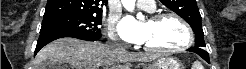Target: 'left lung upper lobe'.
<instances>
[{
	"mask_svg": "<svg viewBox=\"0 0 246 69\" xmlns=\"http://www.w3.org/2000/svg\"><path fill=\"white\" fill-rule=\"evenodd\" d=\"M166 7L182 17L195 33V47H205L201 15L196 0H160Z\"/></svg>",
	"mask_w": 246,
	"mask_h": 69,
	"instance_id": "left-lung-upper-lobe-1",
	"label": "left lung upper lobe"
}]
</instances>
